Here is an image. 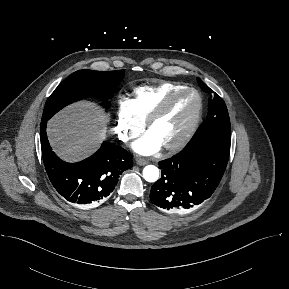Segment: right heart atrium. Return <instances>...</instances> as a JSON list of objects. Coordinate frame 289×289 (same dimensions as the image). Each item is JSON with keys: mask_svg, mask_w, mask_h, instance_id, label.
<instances>
[{"mask_svg": "<svg viewBox=\"0 0 289 289\" xmlns=\"http://www.w3.org/2000/svg\"><path fill=\"white\" fill-rule=\"evenodd\" d=\"M144 123L134 113L132 101L121 98L118 102L115 133L122 142H129L143 131Z\"/></svg>", "mask_w": 289, "mask_h": 289, "instance_id": "right-heart-atrium-1", "label": "right heart atrium"}]
</instances>
